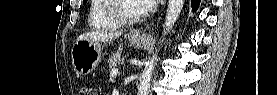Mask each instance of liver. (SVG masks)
Returning a JSON list of instances; mask_svg holds the SVG:
<instances>
[{"instance_id": "obj_1", "label": "liver", "mask_w": 277, "mask_h": 95, "mask_svg": "<svg viewBox=\"0 0 277 95\" xmlns=\"http://www.w3.org/2000/svg\"><path fill=\"white\" fill-rule=\"evenodd\" d=\"M122 35V32L93 31L78 36L77 40L86 39L90 41H112Z\"/></svg>"}]
</instances>
